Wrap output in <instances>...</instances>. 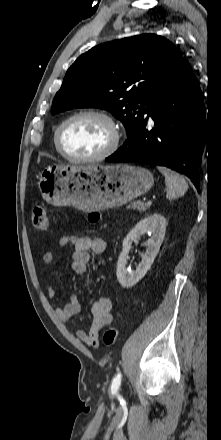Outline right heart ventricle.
Returning a JSON list of instances; mask_svg holds the SVG:
<instances>
[{
	"label": "right heart ventricle",
	"mask_w": 221,
	"mask_h": 440,
	"mask_svg": "<svg viewBox=\"0 0 221 440\" xmlns=\"http://www.w3.org/2000/svg\"><path fill=\"white\" fill-rule=\"evenodd\" d=\"M53 139H54V142H55V132H54V135H53Z\"/></svg>",
	"instance_id": "right-heart-ventricle-1"
}]
</instances>
